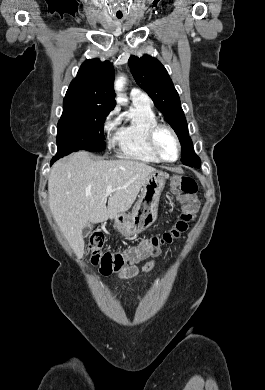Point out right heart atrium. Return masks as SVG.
Masks as SVG:
<instances>
[{
  "mask_svg": "<svg viewBox=\"0 0 265 390\" xmlns=\"http://www.w3.org/2000/svg\"><path fill=\"white\" fill-rule=\"evenodd\" d=\"M117 110H111L104 119L102 129L105 134H110L118 125L119 120L116 118Z\"/></svg>",
  "mask_w": 265,
  "mask_h": 390,
  "instance_id": "right-heart-atrium-1",
  "label": "right heart atrium"
}]
</instances>
